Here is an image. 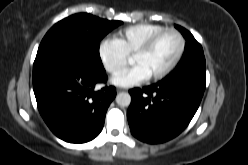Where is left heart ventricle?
Returning <instances> with one entry per match:
<instances>
[{"label": "left heart ventricle", "instance_id": "left-heart-ventricle-1", "mask_svg": "<svg viewBox=\"0 0 248 165\" xmlns=\"http://www.w3.org/2000/svg\"><path fill=\"white\" fill-rule=\"evenodd\" d=\"M179 48V41L175 34H164L154 46L145 54L132 56V64L142 65L149 76L162 71L175 57Z\"/></svg>", "mask_w": 248, "mask_h": 165}]
</instances>
